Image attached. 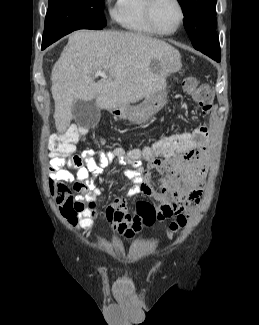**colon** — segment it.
Returning <instances> with one entry per match:
<instances>
[{
	"mask_svg": "<svg viewBox=\"0 0 259 325\" xmlns=\"http://www.w3.org/2000/svg\"><path fill=\"white\" fill-rule=\"evenodd\" d=\"M182 89L185 94L201 106L205 113L210 112L213 102V93L209 86L201 82L198 78L189 76L183 79ZM195 131L197 132V135H194L193 130H183L182 135H173L161 138L151 146L135 149L134 154L140 158H150L164 150L199 149V142H203V139H206L209 130L204 126L196 125ZM84 133V128H69L61 134L52 136L49 141L51 153L60 158L70 154L74 150L75 144ZM198 203L199 198L196 199V204ZM195 211L196 206H192L185 213H180L176 219L171 222L166 235L171 238L180 230L188 226ZM135 215L139 220H142L146 226L152 225L158 217L155 207L145 201L137 203Z\"/></svg>",
	"mask_w": 259,
	"mask_h": 325,
	"instance_id": "1",
	"label": "colon"
}]
</instances>
